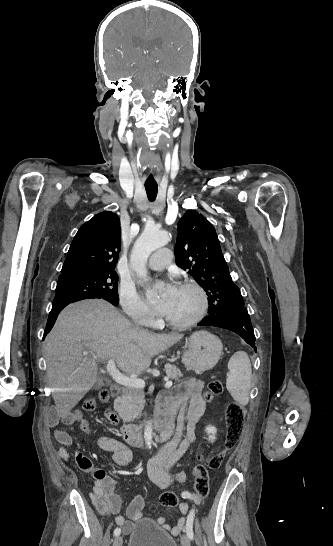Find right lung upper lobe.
Here are the masks:
<instances>
[{
    "label": "right lung upper lobe",
    "instance_id": "right-lung-upper-lobe-1",
    "mask_svg": "<svg viewBox=\"0 0 333 546\" xmlns=\"http://www.w3.org/2000/svg\"><path fill=\"white\" fill-rule=\"evenodd\" d=\"M121 247L119 217L101 212L84 223L75 235L61 275L73 272L112 271Z\"/></svg>",
    "mask_w": 333,
    "mask_h": 546
}]
</instances>
